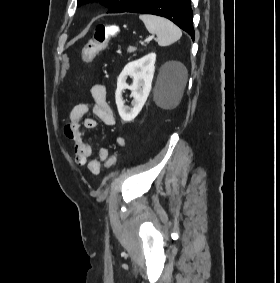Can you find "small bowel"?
<instances>
[{
	"mask_svg": "<svg viewBox=\"0 0 280 283\" xmlns=\"http://www.w3.org/2000/svg\"><path fill=\"white\" fill-rule=\"evenodd\" d=\"M93 105L79 103L75 105L70 114L67 123L64 126V133L67 138L74 142L75 163L79 166H87L89 171L98 175L101 172V162H107L110 158V151L107 148H100L98 158H90L92 149L89 143L85 141L83 128L95 129L97 122L94 119H86L85 115L91 110L97 119L106 126L115 124V117L106 101V90L102 84H95L91 88ZM118 146L125 145V139L118 137L116 139Z\"/></svg>",
	"mask_w": 280,
	"mask_h": 283,
	"instance_id": "1",
	"label": "small bowel"
}]
</instances>
